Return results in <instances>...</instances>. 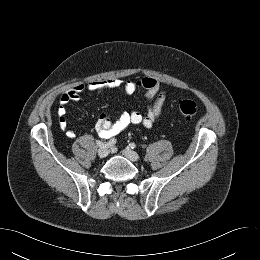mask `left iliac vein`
<instances>
[{"label":"left iliac vein","mask_w":260,"mask_h":260,"mask_svg":"<svg viewBox=\"0 0 260 260\" xmlns=\"http://www.w3.org/2000/svg\"><path fill=\"white\" fill-rule=\"evenodd\" d=\"M122 153L126 158H128L129 160H131L133 162H136L140 159V156L129 148L123 149Z\"/></svg>","instance_id":"obj_1"}]
</instances>
